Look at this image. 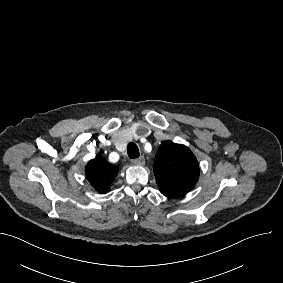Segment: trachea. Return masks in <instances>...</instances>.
Here are the masks:
<instances>
[{"mask_svg":"<svg viewBox=\"0 0 283 283\" xmlns=\"http://www.w3.org/2000/svg\"><path fill=\"white\" fill-rule=\"evenodd\" d=\"M127 152L128 156L131 159L138 158L140 153H139V148L134 142H130L127 146Z\"/></svg>","mask_w":283,"mask_h":283,"instance_id":"trachea-1","label":"trachea"}]
</instances>
